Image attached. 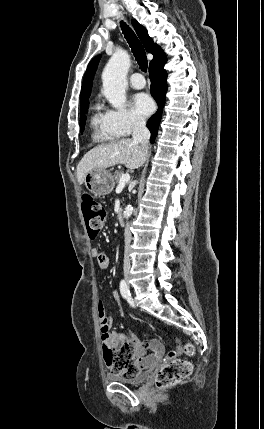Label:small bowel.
I'll return each instance as SVG.
<instances>
[{
  "label": "small bowel",
  "mask_w": 264,
  "mask_h": 429,
  "mask_svg": "<svg viewBox=\"0 0 264 429\" xmlns=\"http://www.w3.org/2000/svg\"><path fill=\"white\" fill-rule=\"evenodd\" d=\"M91 254L97 259L100 268H108L110 260L107 254L100 252L96 248L92 249ZM114 298L120 306L119 316L123 317L124 312L117 291L114 292ZM99 305L104 306L102 302H100ZM113 321V317L108 318V328L113 324ZM129 340L134 347L135 359L141 370L151 368L164 359V347L158 340L141 342L134 336H131ZM149 350L152 351V354H148ZM175 355L176 352H171L169 357H173Z\"/></svg>",
  "instance_id": "c3829d8e"
}]
</instances>
